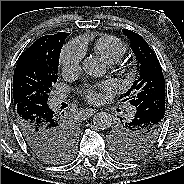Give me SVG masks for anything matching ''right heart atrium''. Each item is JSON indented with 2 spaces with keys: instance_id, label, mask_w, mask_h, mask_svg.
I'll return each mask as SVG.
<instances>
[{
  "instance_id": "right-heart-atrium-1",
  "label": "right heart atrium",
  "mask_w": 184,
  "mask_h": 184,
  "mask_svg": "<svg viewBox=\"0 0 184 184\" xmlns=\"http://www.w3.org/2000/svg\"><path fill=\"white\" fill-rule=\"evenodd\" d=\"M85 45L79 39L70 41L60 54V63L65 70L78 71L85 56Z\"/></svg>"
}]
</instances>
